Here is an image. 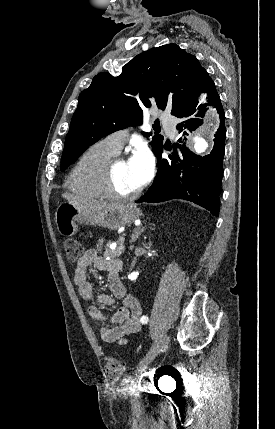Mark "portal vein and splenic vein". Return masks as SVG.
<instances>
[{
  "label": "portal vein and splenic vein",
  "mask_w": 275,
  "mask_h": 429,
  "mask_svg": "<svg viewBox=\"0 0 275 429\" xmlns=\"http://www.w3.org/2000/svg\"><path fill=\"white\" fill-rule=\"evenodd\" d=\"M124 240H125V238L124 237H121V245H123L124 244ZM116 246L115 245H111L110 246V248L111 249H113V248H115Z\"/></svg>",
  "instance_id": "obj_1"
}]
</instances>
